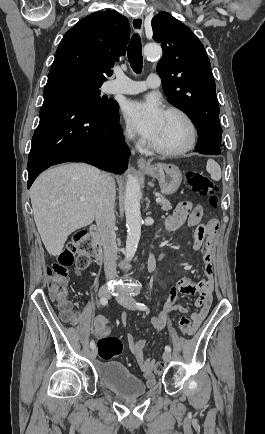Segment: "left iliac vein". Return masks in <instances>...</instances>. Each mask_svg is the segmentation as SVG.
Wrapping results in <instances>:
<instances>
[{
  "label": "left iliac vein",
  "instance_id": "left-iliac-vein-1",
  "mask_svg": "<svg viewBox=\"0 0 265 434\" xmlns=\"http://www.w3.org/2000/svg\"><path fill=\"white\" fill-rule=\"evenodd\" d=\"M117 301L120 305L124 306L125 308H127L129 310L135 309L134 299L128 295L121 294L120 296L117 297ZM163 360L165 363H169L171 361L170 352L165 351L163 353Z\"/></svg>",
  "mask_w": 265,
  "mask_h": 434
}]
</instances>
